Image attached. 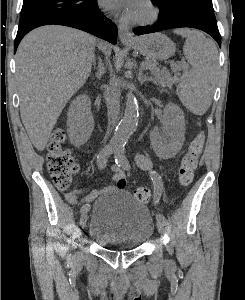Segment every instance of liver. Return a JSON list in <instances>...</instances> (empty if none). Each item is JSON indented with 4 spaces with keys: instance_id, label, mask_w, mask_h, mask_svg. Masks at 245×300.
<instances>
[{
    "instance_id": "obj_1",
    "label": "liver",
    "mask_w": 245,
    "mask_h": 300,
    "mask_svg": "<svg viewBox=\"0 0 245 300\" xmlns=\"http://www.w3.org/2000/svg\"><path fill=\"white\" fill-rule=\"evenodd\" d=\"M96 45L110 56L109 44L59 25L39 27L20 42L16 52L20 115L37 150H44L65 105L90 76Z\"/></svg>"
}]
</instances>
